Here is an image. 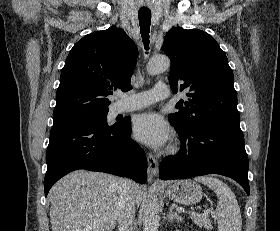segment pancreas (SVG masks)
Here are the masks:
<instances>
[{
	"mask_svg": "<svg viewBox=\"0 0 280 231\" xmlns=\"http://www.w3.org/2000/svg\"><path fill=\"white\" fill-rule=\"evenodd\" d=\"M191 219L194 221V223L200 225V227L204 225L205 229H212L213 227V225H211V219H209L206 213H194V211H192Z\"/></svg>",
	"mask_w": 280,
	"mask_h": 231,
	"instance_id": "1",
	"label": "pancreas"
}]
</instances>
